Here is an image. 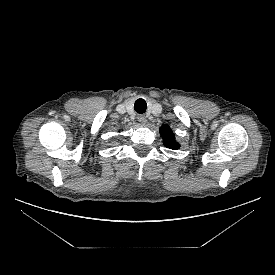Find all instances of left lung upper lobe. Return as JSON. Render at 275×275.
<instances>
[{"instance_id":"left-lung-upper-lobe-1","label":"left lung upper lobe","mask_w":275,"mask_h":275,"mask_svg":"<svg viewBox=\"0 0 275 275\" xmlns=\"http://www.w3.org/2000/svg\"><path fill=\"white\" fill-rule=\"evenodd\" d=\"M160 134L163 137V143L165 147L170 149H178L179 144L175 141V135L173 134L172 130L167 125H162L160 127Z\"/></svg>"}]
</instances>
